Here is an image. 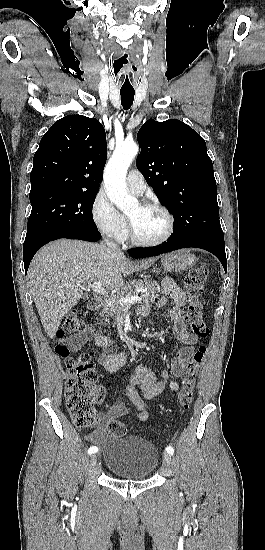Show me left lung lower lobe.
<instances>
[{
	"label": "left lung lower lobe",
	"mask_w": 265,
	"mask_h": 550,
	"mask_svg": "<svg viewBox=\"0 0 265 550\" xmlns=\"http://www.w3.org/2000/svg\"><path fill=\"white\" fill-rule=\"evenodd\" d=\"M195 247L207 250L213 253L222 263L225 272L227 271V259L225 253V246L217 245L213 242L199 240V239H182V240H167V242L161 246L151 248H136L129 250V255L133 258H144L157 256L173 250Z\"/></svg>",
	"instance_id": "obj_1"
}]
</instances>
